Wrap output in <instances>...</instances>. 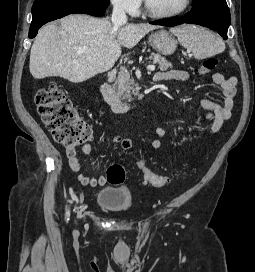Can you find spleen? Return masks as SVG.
<instances>
[{"label":"spleen","instance_id":"1","mask_svg":"<svg viewBox=\"0 0 255 272\" xmlns=\"http://www.w3.org/2000/svg\"><path fill=\"white\" fill-rule=\"evenodd\" d=\"M179 43L190 50L196 59H204L224 51L223 40L209 30L196 25H181L172 28Z\"/></svg>","mask_w":255,"mask_h":272}]
</instances>
